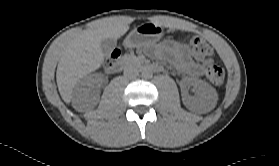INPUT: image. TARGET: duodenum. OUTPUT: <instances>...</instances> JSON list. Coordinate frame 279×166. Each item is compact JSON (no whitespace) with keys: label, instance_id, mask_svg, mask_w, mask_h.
Segmentation results:
<instances>
[{"label":"duodenum","instance_id":"duodenum-1","mask_svg":"<svg viewBox=\"0 0 279 166\" xmlns=\"http://www.w3.org/2000/svg\"><path fill=\"white\" fill-rule=\"evenodd\" d=\"M138 66L144 70H158L159 69L158 65H153V64L146 63V62H139ZM124 67H125L124 61L117 60L109 67L108 70L110 73H118V72H121L124 69Z\"/></svg>","mask_w":279,"mask_h":166}]
</instances>
